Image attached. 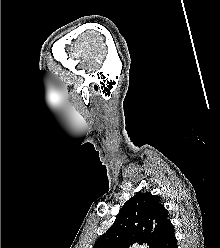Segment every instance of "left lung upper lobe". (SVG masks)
<instances>
[{
	"mask_svg": "<svg viewBox=\"0 0 220 248\" xmlns=\"http://www.w3.org/2000/svg\"><path fill=\"white\" fill-rule=\"evenodd\" d=\"M172 226L156 195L137 192L120 209L114 224L93 248H128L134 243L157 248Z\"/></svg>",
	"mask_w": 220,
	"mask_h": 248,
	"instance_id": "left-lung-upper-lobe-1",
	"label": "left lung upper lobe"
}]
</instances>
